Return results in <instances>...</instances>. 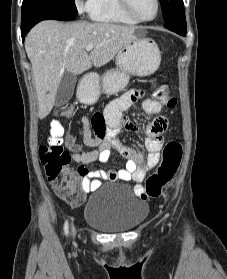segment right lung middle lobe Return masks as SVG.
<instances>
[{"mask_svg":"<svg viewBox=\"0 0 227 279\" xmlns=\"http://www.w3.org/2000/svg\"><path fill=\"white\" fill-rule=\"evenodd\" d=\"M39 2H47L52 5L58 6L60 9L69 14H72L74 16L78 15L74 0H23L22 14L27 12L33 5Z\"/></svg>","mask_w":227,"mask_h":279,"instance_id":"obj_1","label":"right lung middle lobe"}]
</instances>
